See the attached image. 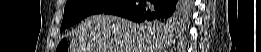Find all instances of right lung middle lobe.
<instances>
[{
	"instance_id": "right-lung-middle-lobe-1",
	"label": "right lung middle lobe",
	"mask_w": 261,
	"mask_h": 52,
	"mask_svg": "<svg viewBox=\"0 0 261 52\" xmlns=\"http://www.w3.org/2000/svg\"><path fill=\"white\" fill-rule=\"evenodd\" d=\"M120 2L121 0H67L61 30L80 22L89 15L102 13ZM180 5L182 8H186L188 3L183 1L180 2ZM174 22L175 20L172 19L156 21L154 24L160 28L169 29Z\"/></svg>"
}]
</instances>
